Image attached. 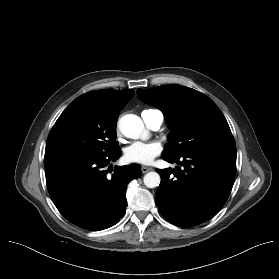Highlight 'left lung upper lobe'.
<instances>
[{"instance_id": "1", "label": "left lung upper lobe", "mask_w": 279, "mask_h": 279, "mask_svg": "<svg viewBox=\"0 0 279 279\" xmlns=\"http://www.w3.org/2000/svg\"><path fill=\"white\" fill-rule=\"evenodd\" d=\"M139 98L164 113L173 133L162 156L180 157L213 147L236 148L226 118L205 94L177 84L138 89Z\"/></svg>"}]
</instances>
